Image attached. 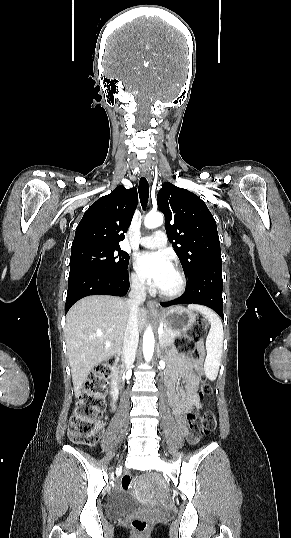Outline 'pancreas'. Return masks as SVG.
Listing matches in <instances>:
<instances>
[{
  "instance_id": "obj_1",
  "label": "pancreas",
  "mask_w": 291,
  "mask_h": 538,
  "mask_svg": "<svg viewBox=\"0 0 291 538\" xmlns=\"http://www.w3.org/2000/svg\"><path fill=\"white\" fill-rule=\"evenodd\" d=\"M179 332L171 331L167 328H164L163 334L159 336V342L161 346H167L174 342L175 338L179 336Z\"/></svg>"
}]
</instances>
